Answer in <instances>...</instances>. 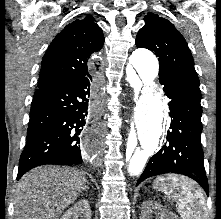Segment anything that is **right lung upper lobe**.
I'll return each instance as SVG.
<instances>
[{"label":"right lung upper lobe","instance_id":"1","mask_svg":"<svg viewBox=\"0 0 221 219\" xmlns=\"http://www.w3.org/2000/svg\"><path fill=\"white\" fill-rule=\"evenodd\" d=\"M104 44L102 29L91 15L68 24L48 47L41 65L38 88L88 76L97 70L92 54Z\"/></svg>","mask_w":221,"mask_h":219}]
</instances>
